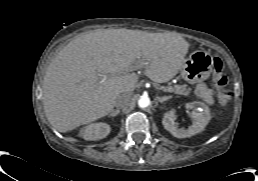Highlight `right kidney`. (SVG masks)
I'll use <instances>...</instances> for the list:
<instances>
[{
  "label": "right kidney",
  "mask_w": 258,
  "mask_h": 181,
  "mask_svg": "<svg viewBox=\"0 0 258 181\" xmlns=\"http://www.w3.org/2000/svg\"><path fill=\"white\" fill-rule=\"evenodd\" d=\"M110 125L107 123H91L81 128L79 136L88 141H96L105 138L110 133Z\"/></svg>",
  "instance_id": "right-kidney-1"
}]
</instances>
